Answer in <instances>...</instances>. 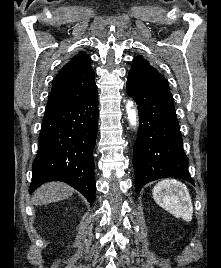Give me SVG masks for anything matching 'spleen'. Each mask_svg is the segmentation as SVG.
I'll return each mask as SVG.
<instances>
[{"mask_svg":"<svg viewBox=\"0 0 221 268\" xmlns=\"http://www.w3.org/2000/svg\"><path fill=\"white\" fill-rule=\"evenodd\" d=\"M155 202L176 218L189 222L193 216V204L189 191L176 179H164L153 189Z\"/></svg>","mask_w":221,"mask_h":268,"instance_id":"3e777b00","label":"spleen"}]
</instances>
